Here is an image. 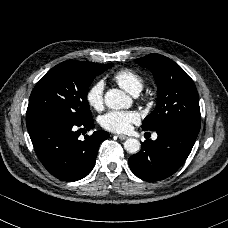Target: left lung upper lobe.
<instances>
[{
	"label": "left lung upper lobe",
	"mask_w": 228,
	"mask_h": 228,
	"mask_svg": "<svg viewBox=\"0 0 228 228\" xmlns=\"http://www.w3.org/2000/svg\"><path fill=\"white\" fill-rule=\"evenodd\" d=\"M136 63L151 70L158 87L156 109L144 119L142 129L157 131L165 127H181L199 132L198 92L185 71L160 54L138 58Z\"/></svg>",
	"instance_id": "5c2ea615"
}]
</instances>
